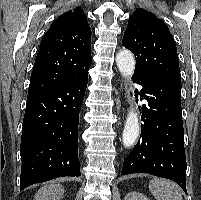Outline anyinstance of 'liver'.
<instances>
[{
  "label": "liver",
  "instance_id": "liver-1",
  "mask_svg": "<svg viewBox=\"0 0 201 200\" xmlns=\"http://www.w3.org/2000/svg\"><path fill=\"white\" fill-rule=\"evenodd\" d=\"M64 194V188L60 184L44 186L35 194V200H60Z\"/></svg>",
  "mask_w": 201,
  "mask_h": 200
}]
</instances>
